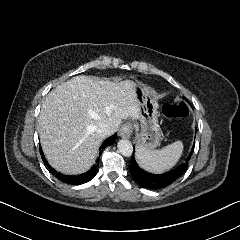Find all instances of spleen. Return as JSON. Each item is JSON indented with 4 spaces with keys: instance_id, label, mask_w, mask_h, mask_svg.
Listing matches in <instances>:
<instances>
[{
    "instance_id": "obj_1",
    "label": "spleen",
    "mask_w": 240,
    "mask_h": 240,
    "mask_svg": "<svg viewBox=\"0 0 240 240\" xmlns=\"http://www.w3.org/2000/svg\"><path fill=\"white\" fill-rule=\"evenodd\" d=\"M184 153V144L181 140L175 141L160 150H145L135 148V159L140 168L155 175H162L173 169L181 160Z\"/></svg>"
}]
</instances>
